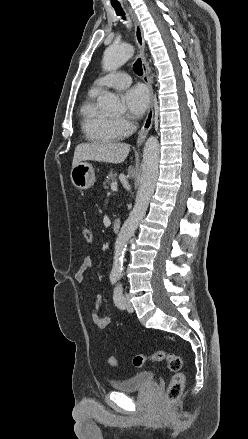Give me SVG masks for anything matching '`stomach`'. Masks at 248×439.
<instances>
[{
  "mask_svg": "<svg viewBox=\"0 0 248 439\" xmlns=\"http://www.w3.org/2000/svg\"><path fill=\"white\" fill-rule=\"evenodd\" d=\"M70 178L72 184L80 190L90 188L95 182L94 168L90 163L79 162L72 167Z\"/></svg>",
  "mask_w": 248,
  "mask_h": 439,
  "instance_id": "obj_1",
  "label": "stomach"
}]
</instances>
